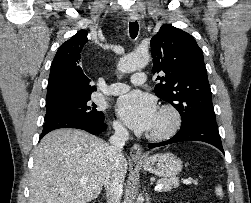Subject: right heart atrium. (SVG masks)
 <instances>
[{"label": "right heart atrium", "mask_w": 251, "mask_h": 203, "mask_svg": "<svg viewBox=\"0 0 251 203\" xmlns=\"http://www.w3.org/2000/svg\"><path fill=\"white\" fill-rule=\"evenodd\" d=\"M114 130L116 133L118 134H124L125 133V128L122 125V123H120L119 121H115L113 124Z\"/></svg>", "instance_id": "1"}]
</instances>
